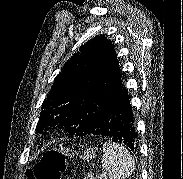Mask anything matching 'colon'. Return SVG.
I'll return each instance as SVG.
<instances>
[{"label":"colon","mask_w":183,"mask_h":179,"mask_svg":"<svg viewBox=\"0 0 183 179\" xmlns=\"http://www.w3.org/2000/svg\"><path fill=\"white\" fill-rule=\"evenodd\" d=\"M70 152L64 148L47 150L41 160L35 165L31 175L35 179H61L67 166Z\"/></svg>","instance_id":"1"}]
</instances>
